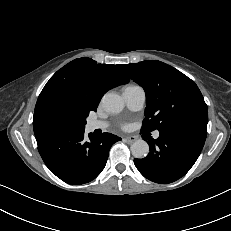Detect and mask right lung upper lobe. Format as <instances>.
Wrapping results in <instances>:
<instances>
[{
	"instance_id": "right-lung-upper-lobe-1",
	"label": "right lung upper lobe",
	"mask_w": 231,
	"mask_h": 231,
	"mask_svg": "<svg viewBox=\"0 0 231 231\" xmlns=\"http://www.w3.org/2000/svg\"><path fill=\"white\" fill-rule=\"evenodd\" d=\"M120 65L97 64L82 57L58 70L40 93L33 118L35 136H40V122L45 107L60 96L80 97L88 110L96 111L102 96L110 89L127 83Z\"/></svg>"
}]
</instances>
